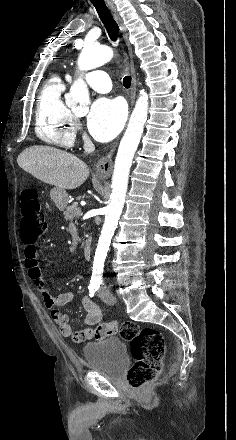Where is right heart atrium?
<instances>
[{
	"label": "right heart atrium",
	"instance_id": "obj_1",
	"mask_svg": "<svg viewBox=\"0 0 236 440\" xmlns=\"http://www.w3.org/2000/svg\"><path fill=\"white\" fill-rule=\"evenodd\" d=\"M76 126L78 127V126H79V124H78V123H76Z\"/></svg>",
	"mask_w": 236,
	"mask_h": 440
}]
</instances>
